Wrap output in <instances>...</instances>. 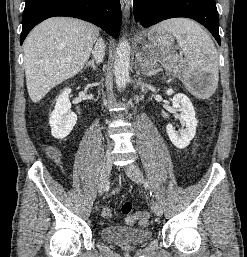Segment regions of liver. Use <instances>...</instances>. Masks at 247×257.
Returning <instances> with one entry per match:
<instances>
[{"mask_svg": "<svg viewBox=\"0 0 247 257\" xmlns=\"http://www.w3.org/2000/svg\"><path fill=\"white\" fill-rule=\"evenodd\" d=\"M98 35L96 26L70 17L49 18L30 32L24 42V69L34 103L81 71Z\"/></svg>", "mask_w": 247, "mask_h": 257, "instance_id": "liver-1", "label": "liver"}]
</instances>
